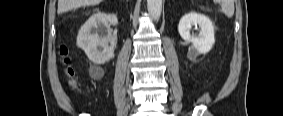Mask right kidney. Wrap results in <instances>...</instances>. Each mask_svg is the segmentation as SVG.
I'll list each match as a JSON object with an SVG mask.
<instances>
[{"mask_svg":"<svg viewBox=\"0 0 283 116\" xmlns=\"http://www.w3.org/2000/svg\"><path fill=\"white\" fill-rule=\"evenodd\" d=\"M115 14L98 12L93 14L80 28L77 45L94 64H104L114 56L117 36L110 26H116Z\"/></svg>","mask_w":283,"mask_h":116,"instance_id":"right-kidney-1","label":"right kidney"}]
</instances>
